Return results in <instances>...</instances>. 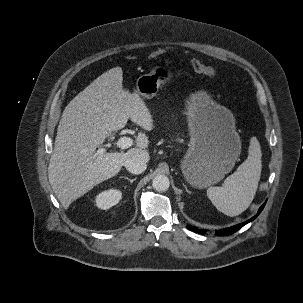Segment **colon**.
Returning a JSON list of instances; mask_svg holds the SVG:
<instances>
[{
	"instance_id": "colon-1",
	"label": "colon",
	"mask_w": 303,
	"mask_h": 303,
	"mask_svg": "<svg viewBox=\"0 0 303 303\" xmlns=\"http://www.w3.org/2000/svg\"><path fill=\"white\" fill-rule=\"evenodd\" d=\"M165 55V50L163 48H157L151 53V59L157 60ZM191 67L192 69L199 74H203L206 76L213 77L216 74V70L214 67L205 64L204 62L198 60V59H193L191 60Z\"/></svg>"
}]
</instances>
